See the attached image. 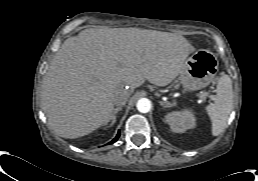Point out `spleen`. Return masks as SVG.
<instances>
[{
  "instance_id": "3e777b00",
  "label": "spleen",
  "mask_w": 258,
  "mask_h": 181,
  "mask_svg": "<svg viewBox=\"0 0 258 181\" xmlns=\"http://www.w3.org/2000/svg\"><path fill=\"white\" fill-rule=\"evenodd\" d=\"M216 98L205 110L212 122V135L218 136L225 128L229 115L233 109L232 80L223 75L218 80Z\"/></svg>"
}]
</instances>
